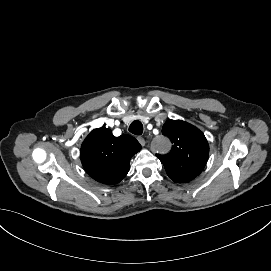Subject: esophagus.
Masks as SVG:
<instances>
[{"mask_svg":"<svg viewBox=\"0 0 271 271\" xmlns=\"http://www.w3.org/2000/svg\"><path fill=\"white\" fill-rule=\"evenodd\" d=\"M139 143L144 146L148 142V137L146 135H141L137 137Z\"/></svg>","mask_w":271,"mask_h":271,"instance_id":"esophagus-1","label":"esophagus"}]
</instances>
